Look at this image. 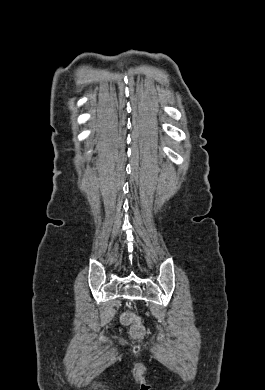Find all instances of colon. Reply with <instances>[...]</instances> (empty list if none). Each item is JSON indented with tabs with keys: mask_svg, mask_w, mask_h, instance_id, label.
<instances>
[{
	"mask_svg": "<svg viewBox=\"0 0 265 390\" xmlns=\"http://www.w3.org/2000/svg\"><path fill=\"white\" fill-rule=\"evenodd\" d=\"M121 321L125 325H131L130 334L135 339H142L146 334L144 325L139 317L131 312L122 314Z\"/></svg>",
	"mask_w": 265,
	"mask_h": 390,
	"instance_id": "obj_1",
	"label": "colon"
}]
</instances>
